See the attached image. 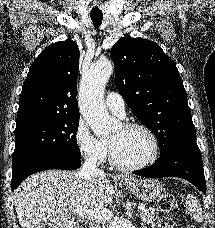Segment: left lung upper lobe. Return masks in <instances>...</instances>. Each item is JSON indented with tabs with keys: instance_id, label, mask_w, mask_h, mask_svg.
<instances>
[{
	"instance_id": "left-lung-upper-lobe-1",
	"label": "left lung upper lobe",
	"mask_w": 215,
	"mask_h": 228,
	"mask_svg": "<svg viewBox=\"0 0 215 228\" xmlns=\"http://www.w3.org/2000/svg\"><path fill=\"white\" fill-rule=\"evenodd\" d=\"M115 84L133 114L156 136L160 155L195 138L187 95L174 61L158 44L121 38L110 51Z\"/></svg>"
}]
</instances>
